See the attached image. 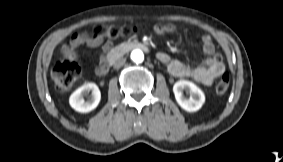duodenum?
I'll list each match as a JSON object with an SVG mask.
<instances>
[{"label":"duodenum","instance_id":"410a0bca","mask_svg":"<svg viewBox=\"0 0 283 162\" xmlns=\"http://www.w3.org/2000/svg\"><path fill=\"white\" fill-rule=\"evenodd\" d=\"M134 49H141V50H148V46L140 41H127L123 42L117 46H115L113 49H110L111 54L108 58L109 60V66L111 63H113L118 58L122 57L127 52L134 50Z\"/></svg>","mask_w":283,"mask_h":162}]
</instances>
